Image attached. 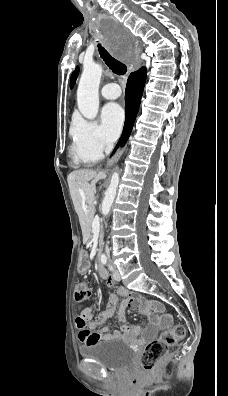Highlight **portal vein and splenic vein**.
Instances as JSON below:
<instances>
[{"label":"portal vein and splenic vein","mask_w":228,"mask_h":396,"mask_svg":"<svg viewBox=\"0 0 228 396\" xmlns=\"http://www.w3.org/2000/svg\"><path fill=\"white\" fill-rule=\"evenodd\" d=\"M99 225H100L99 216H95V218H94V220H93V223H92V226H93V227H96V226H99Z\"/></svg>","instance_id":"obj_1"}]
</instances>
